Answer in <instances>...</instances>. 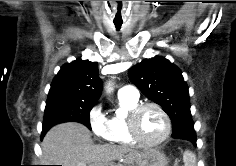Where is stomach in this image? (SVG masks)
<instances>
[{
    "label": "stomach",
    "instance_id": "0dacf381",
    "mask_svg": "<svg viewBox=\"0 0 236 166\" xmlns=\"http://www.w3.org/2000/svg\"><path fill=\"white\" fill-rule=\"evenodd\" d=\"M167 158L164 153L156 149H150L144 152L143 156L137 162L117 166H167Z\"/></svg>",
    "mask_w": 236,
    "mask_h": 166
}]
</instances>
